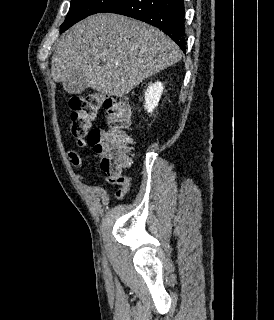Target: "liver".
I'll list each match as a JSON object with an SVG mask.
<instances>
[{
  "instance_id": "liver-1",
  "label": "liver",
  "mask_w": 274,
  "mask_h": 320,
  "mask_svg": "<svg viewBox=\"0 0 274 320\" xmlns=\"http://www.w3.org/2000/svg\"><path fill=\"white\" fill-rule=\"evenodd\" d=\"M53 50L52 78L63 82L66 92L92 88L117 98L182 58L169 36L118 14H95L78 22Z\"/></svg>"
}]
</instances>
